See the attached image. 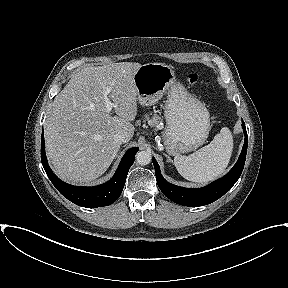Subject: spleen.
<instances>
[{"label": "spleen", "mask_w": 288, "mask_h": 288, "mask_svg": "<svg viewBox=\"0 0 288 288\" xmlns=\"http://www.w3.org/2000/svg\"><path fill=\"white\" fill-rule=\"evenodd\" d=\"M233 150V136L227 127H223L214 139L189 156L176 155L174 164L185 179L198 183L211 181L221 175Z\"/></svg>", "instance_id": "3e777b00"}]
</instances>
